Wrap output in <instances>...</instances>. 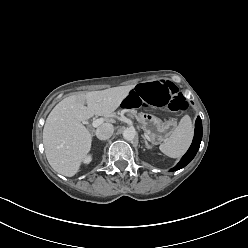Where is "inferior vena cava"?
Listing matches in <instances>:
<instances>
[{"label":"inferior vena cava","instance_id":"1","mask_svg":"<svg viewBox=\"0 0 248 248\" xmlns=\"http://www.w3.org/2000/svg\"><path fill=\"white\" fill-rule=\"evenodd\" d=\"M113 132V125L110 123H105L97 128L96 136L100 140H107L112 136Z\"/></svg>","mask_w":248,"mask_h":248}]
</instances>
